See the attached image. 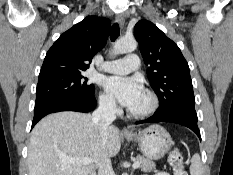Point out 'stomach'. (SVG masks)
Listing matches in <instances>:
<instances>
[{
    "instance_id": "obj_1",
    "label": "stomach",
    "mask_w": 233,
    "mask_h": 175,
    "mask_svg": "<svg viewBox=\"0 0 233 175\" xmlns=\"http://www.w3.org/2000/svg\"><path fill=\"white\" fill-rule=\"evenodd\" d=\"M126 138L137 142L142 154L150 160L163 158L173 144L170 134L159 125H151Z\"/></svg>"
}]
</instances>
